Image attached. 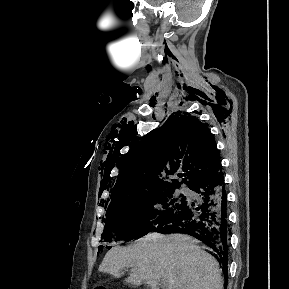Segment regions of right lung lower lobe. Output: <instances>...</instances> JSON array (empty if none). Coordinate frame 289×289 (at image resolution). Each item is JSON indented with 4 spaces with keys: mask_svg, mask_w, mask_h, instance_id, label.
<instances>
[{
    "mask_svg": "<svg viewBox=\"0 0 289 289\" xmlns=\"http://www.w3.org/2000/svg\"><path fill=\"white\" fill-rule=\"evenodd\" d=\"M190 189L197 193V200L187 202L182 210L157 225L153 231L194 236L213 250L227 280L230 228L221 170L213 176L202 178Z\"/></svg>",
    "mask_w": 289,
    "mask_h": 289,
    "instance_id": "right-lung-lower-lobe-1",
    "label": "right lung lower lobe"
}]
</instances>
